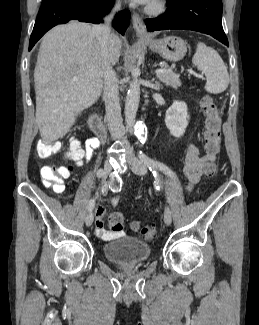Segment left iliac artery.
Wrapping results in <instances>:
<instances>
[{
  "label": "left iliac artery",
  "instance_id": "left-iliac-artery-1",
  "mask_svg": "<svg viewBox=\"0 0 259 325\" xmlns=\"http://www.w3.org/2000/svg\"><path fill=\"white\" fill-rule=\"evenodd\" d=\"M139 157L141 160H149L150 164L154 165V168H159L160 171H162L164 174L170 176L171 178H175L174 172L169 167H167L165 164H163L159 161L153 160L152 158L147 156L142 151L139 152ZM158 189H159V187H158Z\"/></svg>",
  "mask_w": 259,
  "mask_h": 325
}]
</instances>
